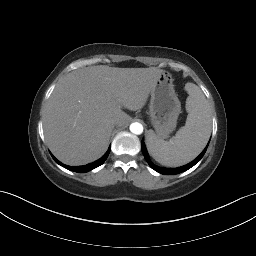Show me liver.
Listing matches in <instances>:
<instances>
[{"label": "liver", "mask_w": 256, "mask_h": 256, "mask_svg": "<svg viewBox=\"0 0 256 256\" xmlns=\"http://www.w3.org/2000/svg\"><path fill=\"white\" fill-rule=\"evenodd\" d=\"M162 73L156 67L107 65L68 73L56 85L42 118L51 152L72 166L99 159L107 150L114 126L130 120L121 108H143Z\"/></svg>", "instance_id": "obj_1"}]
</instances>
